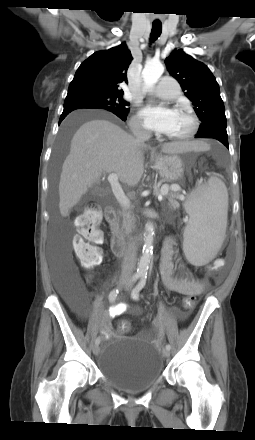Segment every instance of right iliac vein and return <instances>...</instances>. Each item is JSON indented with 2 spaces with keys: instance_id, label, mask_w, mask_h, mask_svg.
<instances>
[{
  "instance_id": "63e3f726",
  "label": "right iliac vein",
  "mask_w": 255,
  "mask_h": 440,
  "mask_svg": "<svg viewBox=\"0 0 255 440\" xmlns=\"http://www.w3.org/2000/svg\"><path fill=\"white\" fill-rule=\"evenodd\" d=\"M124 286H125V282L124 281L120 282L119 287L122 288ZM99 351H100L99 346L98 345H94V347H93V354L95 356H97L99 354Z\"/></svg>"
}]
</instances>
